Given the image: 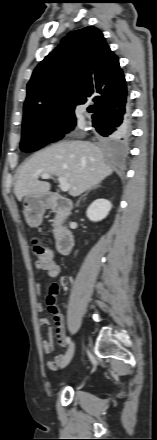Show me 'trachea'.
I'll return each instance as SVG.
<instances>
[{"instance_id": "1", "label": "trachea", "mask_w": 157, "mask_h": 440, "mask_svg": "<svg viewBox=\"0 0 157 440\" xmlns=\"http://www.w3.org/2000/svg\"><path fill=\"white\" fill-rule=\"evenodd\" d=\"M93 111H94V107L93 106L88 107V112H93Z\"/></svg>"}]
</instances>
